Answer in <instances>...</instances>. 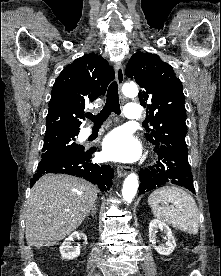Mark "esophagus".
<instances>
[{
	"label": "esophagus",
	"instance_id": "34e87169",
	"mask_svg": "<svg viewBox=\"0 0 221 276\" xmlns=\"http://www.w3.org/2000/svg\"><path fill=\"white\" fill-rule=\"evenodd\" d=\"M115 75H116V81L117 84L119 86V88H121L123 82H124V69L121 63H117L115 65ZM121 100L123 101L124 98L121 96ZM130 172V168L128 166H124V165H119L117 167V175L118 177H124L126 176L128 173Z\"/></svg>",
	"mask_w": 221,
	"mask_h": 276
}]
</instances>
